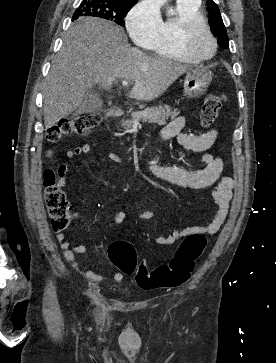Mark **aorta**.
<instances>
[{
    "label": "aorta",
    "instance_id": "aorta-1",
    "mask_svg": "<svg viewBox=\"0 0 276 363\" xmlns=\"http://www.w3.org/2000/svg\"><path fill=\"white\" fill-rule=\"evenodd\" d=\"M167 13H168V15H173L174 14V11H173L172 8H169Z\"/></svg>",
    "mask_w": 276,
    "mask_h": 363
}]
</instances>
